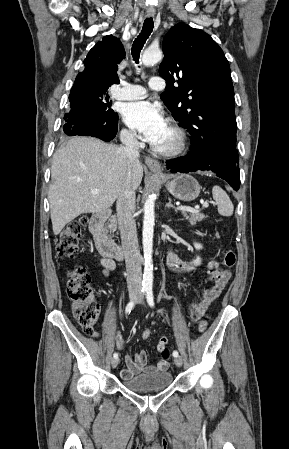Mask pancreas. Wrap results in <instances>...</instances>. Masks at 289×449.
I'll return each instance as SVG.
<instances>
[{
  "mask_svg": "<svg viewBox=\"0 0 289 449\" xmlns=\"http://www.w3.org/2000/svg\"><path fill=\"white\" fill-rule=\"evenodd\" d=\"M183 216L185 217L186 220H188L190 222L191 225H195L197 222L202 221L206 218V216L202 213H187V212H182ZM108 229L110 230V232H114L117 229V224H116V220L113 219L111 221V223L108 226Z\"/></svg>",
  "mask_w": 289,
  "mask_h": 449,
  "instance_id": "obj_1",
  "label": "pancreas"
}]
</instances>
